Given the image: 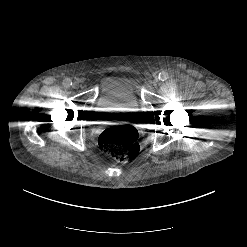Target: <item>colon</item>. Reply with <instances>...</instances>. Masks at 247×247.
Wrapping results in <instances>:
<instances>
[{
	"instance_id": "colon-1",
	"label": "colon",
	"mask_w": 247,
	"mask_h": 247,
	"mask_svg": "<svg viewBox=\"0 0 247 247\" xmlns=\"http://www.w3.org/2000/svg\"><path fill=\"white\" fill-rule=\"evenodd\" d=\"M98 143L105 153L120 162L131 160L140 150L138 133L132 126L105 129L100 134Z\"/></svg>"
}]
</instances>
